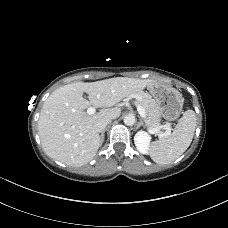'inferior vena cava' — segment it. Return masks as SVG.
Instances as JSON below:
<instances>
[{
	"label": "inferior vena cava",
	"instance_id": "inferior-vena-cava-1",
	"mask_svg": "<svg viewBox=\"0 0 228 228\" xmlns=\"http://www.w3.org/2000/svg\"><path fill=\"white\" fill-rule=\"evenodd\" d=\"M110 122H111V119L99 120L95 122L94 128L97 132H102Z\"/></svg>",
	"mask_w": 228,
	"mask_h": 228
}]
</instances>
